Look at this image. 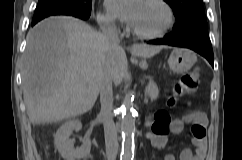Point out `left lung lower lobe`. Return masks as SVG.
Masks as SVG:
<instances>
[{"label":"left lung lower lobe","instance_id":"0a47b994","mask_svg":"<svg viewBox=\"0 0 242 160\" xmlns=\"http://www.w3.org/2000/svg\"><path fill=\"white\" fill-rule=\"evenodd\" d=\"M147 43L189 48L204 56L212 66L214 63L208 31H193L180 37H173L167 34L163 39L150 40Z\"/></svg>","mask_w":242,"mask_h":160}]
</instances>
